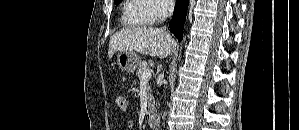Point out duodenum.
Segmentation results:
<instances>
[{"label":"duodenum","mask_w":299,"mask_h":130,"mask_svg":"<svg viewBox=\"0 0 299 130\" xmlns=\"http://www.w3.org/2000/svg\"><path fill=\"white\" fill-rule=\"evenodd\" d=\"M148 126L152 129H157L159 125L158 116L156 114H150L147 118Z\"/></svg>","instance_id":"410a0bca"}]
</instances>
